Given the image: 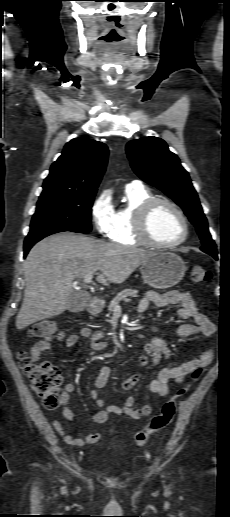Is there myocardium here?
Instances as JSON below:
<instances>
[{
    "label": "myocardium",
    "instance_id": "1",
    "mask_svg": "<svg viewBox=\"0 0 230 517\" xmlns=\"http://www.w3.org/2000/svg\"><path fill=\"white\" fill-rule=\"evenodd\" d=\"M166 205L170 207L181 219L183 226H184V232L182 237L171 243H162L157 240H155L150 232L149 227V221L152 212L158 205ZM135 231L136 235L139 238V240L149 246L156 247V248H174L181 244H183L188 236H189V222L184 214V212L180 209L178 205H176L174 202L165 199V198H156L153 197L151 199H148L145 201L137 210L136 217H135Z\"/></svg>",
    "mask_w": 230,
    "mask_h": 517
}]
</instances>
